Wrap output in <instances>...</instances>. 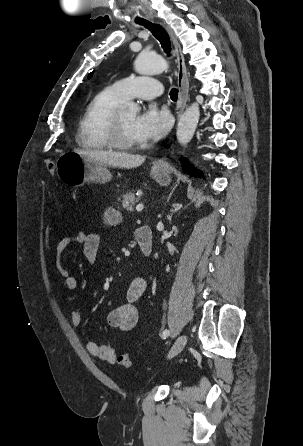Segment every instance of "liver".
<instances>
[{
    "label": "liver",
    "mask_w": 303,
    "mask_h": 446,
    "mask_svg": "<svg viewBox=\"0 0 303 446\" xmlns=\"http://www.w3.org/2000/svg\"><path fill=\"white\" fill-rule=\"evenodd\" d=\"M74 152L100 164L126 169L136 168L145 161V156L121 152L79 149H75Z\"/></svg>",
    "instance_id": "obj_1"
}]
</instances>
